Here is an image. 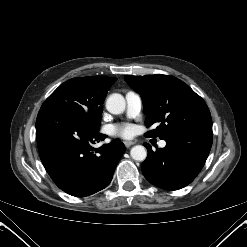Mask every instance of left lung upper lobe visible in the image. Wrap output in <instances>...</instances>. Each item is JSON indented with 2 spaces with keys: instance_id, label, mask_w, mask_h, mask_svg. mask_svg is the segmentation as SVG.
I'll list each match as a JSON object with an SVG mask.
<instances>
[{
  "instance_id": "obj_1",
  "label": "left lung upper lobe",
  "mask_w": 247,
  "mask_h": 247,
  "mask_svg": "<svg viewBox=\"0 0 247 247\" xmlns=\"http://www.w3.org/2000/svg\"><path fill=\"white\" fill-rule=\"evenodd\" d=\"M125 81L142 97L147 127L159 123L146 136L164 139L174 132L212 127L210 111L204 100L176 77L126 75Z\"/></svg>"
}]
</instances>
